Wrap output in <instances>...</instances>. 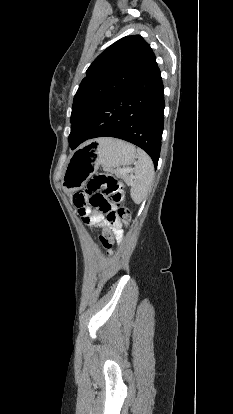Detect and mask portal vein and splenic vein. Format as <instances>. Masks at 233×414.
I'll return each mask as SVG.
<instances>
[{"label":"portal vein and splenic vein","mask_w":233,"mask_h":414,"mask_svg":"<svg viewBox=\"0 0 233 414\" xmlns=\"http://www.w3.org/2000/svg\"><path fill=\"white\" fill-rule=\"evenodd\" d=\"M120 171H121V173H126V172H130L131 173L132 172V170L126 169V168H123Z\"/></svg>","instance_id":"1"}]
</instances>
